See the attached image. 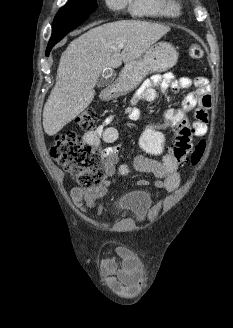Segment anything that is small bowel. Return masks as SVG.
Here are the masks:
<instances>
[{
  "label": "small bowel",
  "instance_id": "obj_1",
  "mask_svg": "<svg viewBox=\"0 0 233 328\" xmlns=\"http://www.w3.org/2000/svg\"><path fill=\"white\" fill-rule=\"evenodd\" d=\"M191 86H194L195 90L184 98L183 111L195 110L194 120L191 122L193 135L204 136L208 130V110L211 107L210 87L205 77L176 78L173 73L154 75L137 89L131 99V106L125 109V113L129 119L137 121L141 117L137 105L142 102L154 101L157 98L158 90L177 92ZM112 121V116L106 117L95 129L86 132L83 136L85 142L96 148L101 141L111 145L103 151L107 176L115 173L119 152V146L113 145L118 139V130L111 125ZM134 168L139 172L155 176L157 178L154 183L155 187L165 189L170 193L174 192L180 184L179 164L169 153H165L160 161L147 155H139L134 160ZM118 171L121 175H126L129 169L126 165H119ZM138 184L147 186L149 182L141 179ZM108 186L109 183L105 181L92 189L75 187L71 190L70 196L75 206L81 211H87L97 206L98 212L101 213L102 205L99 201L106 195ZM102 267L106 273V284L115 293L122 297H131L139 293L142 285V269L139 259L132 251L117 250L114 255L107 256L102 260Z\"/></svg>",
  "mask_w": 233,
  "mask_h": 328
}]
</instances>
